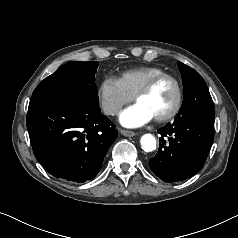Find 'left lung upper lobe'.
I'll use <instances>...</instances> for the list:
<instances>
[{
    "label": "left lung upper lobe",
    "mask_w": 238,
    "mask_h": 238,
    "mask_svg": "<svg viewBox=\"0 0 238 238\" xmlns=\"http://www.w3.org/2000/svg\"><path fill=\"white\" fill-rule=\"evenodd\" d=\"M183 82V103L176 118L214 117V104L203 78L191 67L178 61Z\"/></svg>",
    "instance_id": "obj_1"
}]
</instances>
